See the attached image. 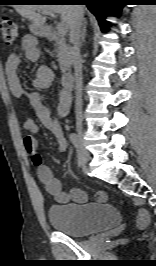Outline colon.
<instances>
[{
  "label": "colon",
  "instance_id": "colon-1",
  "mask_svg": "<svg viewBox=\"0 0 156 266\" xmlns=\"http://www.w3.org/2000/svg\"><path fill=\"white\" fill-rule=\"evenodd\" d=\"M0 33L3 42L10 46L12 45L18 34V29L16 23L8 18L4 17L1 22H0ZM33 162L35 165H38L41 163V158L39 155H36L33 157ZM149 223V216L146 211L142 210L139 212L138 217H137V226L139 228H145Z\"/></svg>",
  "mask_w": 156,
  "mask_h": 266
}]
</instances>
